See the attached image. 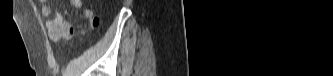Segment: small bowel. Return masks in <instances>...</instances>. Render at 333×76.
Returning <instances> with one entry per match:
<instances>
[{
  "instance_id": "c3829d8e",
  "label": "small bowel",
  "mask_w": 333,
  "mask_h": 76,
  "mask_svg": "<svg viewBox=\"0 0 333 76\" xmlns=\"http://www.w3.org/2000/svg\"><path fill=\"white\" fill-rule=\"evenodd\" d=\"M41 5V13L46 19V27L49 38L53 43H57L61 39H70L73 36L72 25L64 19L58 10H53L46 0L39 1ZM70 4L82 11L84 17L90 21L93 27L98 25V18L93 11L86 8L82 0H70Z\"/></svg>"
}]
</instances>
